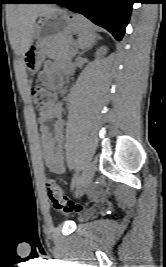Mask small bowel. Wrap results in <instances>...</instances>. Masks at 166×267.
<instances>
[{
  "label": "small bowel",
  "instance_id": "obj_1",
  "mask_svg": "<svg viewBox=\"0 0 166 267\" xmlns=\"http://www.w3.org/2000/svg\"><path fill=\"white\" fill-rule=\"evenodd\" d=\"M61 71L69 72L70 68L64 64L51 61L45 63L40 73V81L50 88L61 86ZM54 119L53 128L50 129L46 122ZM40 123L39 131L42 145L43 159L46 168L53 173H62L64 169L63 160V120L62 105L55 103L48 109L41 111L38 115Z\"/></svg>",
  "mask_w": 166,
  "mask_h": 267
}]
</instances>
